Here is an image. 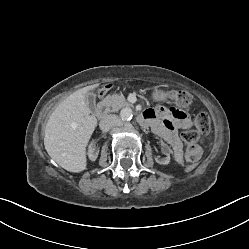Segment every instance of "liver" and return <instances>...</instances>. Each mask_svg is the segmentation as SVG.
<instances>
[{"instance_id":"1","label":"liver","mask_w":249,"mask_h":249,"mask_svg":"<svg viewBox=\"0 0 249 249\" xmlns=\"http://www.w3.org/2000/svg\"><path fill=\"white\" fill-rule=\"evenodd\" d=\"M94 84L69 95L51 114L44 135L48 155L62 168L81 172L87 167L86 147L97 125L86 103Z\"/></svg>"}]
</instances>
